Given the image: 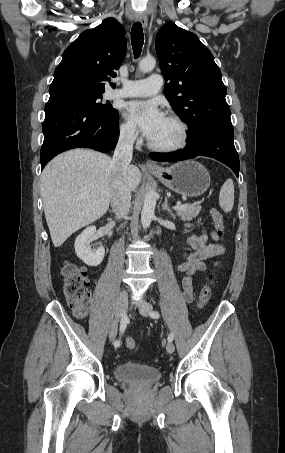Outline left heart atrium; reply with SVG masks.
<instances>
[{"instance_id": "39dd6f15", "label": "left heart atrium", "mask_w": 285, "mask_h": 453, "mask_svg": "<svg viewBox=\"0 0 285 453\" xmlns=\"http://www.w3.org/2000/svg\"><path fill=\"white\" fill-rule=\"evenodd\" d=\"M125 115L139 126L147 138H152L165 115L156 101H130L125 106Z\"/></svg>"}]
</instances>
